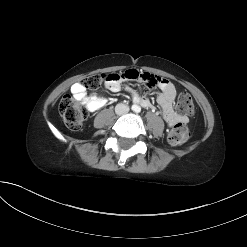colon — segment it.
Returning <instances> with one entry per match:
<instances>
[{"label":"colon","instance_id":"1","mask_svg":"<svg viewBox=\"0 0 247 247\" xmlns=\"http://www.w3.org/2000/svg\"><path fill=\"white\" fill-rule=\"evenodd\" d=\"M110 74V73H109ZM109 74H93L82 81L85 89H97L104 85V80ZM176 110L180 115L188 116L194 113V103L188 93H181L176 102ZM59 113L65 125L73 131L81 128L86 119V111L83 105L75 98L66 95L59 103ZM189 137L188 126L184 122L177 123L168 134V142L173 145L183 144Z\"/></svg>","mask_w":247,"mask_h":247}]
</instances>
